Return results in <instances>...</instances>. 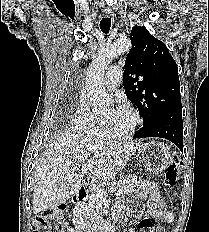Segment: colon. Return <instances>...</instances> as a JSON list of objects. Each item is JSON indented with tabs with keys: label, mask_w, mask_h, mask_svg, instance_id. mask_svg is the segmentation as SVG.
I'll use <instances>...</instances> for the list:
<instances>
[{
	"label": "colon",
	"mask_w": 209,
	"mask_h": 232,
	"mask_svg": "<svg viewBox=\"0 0 209 232\" xmlns=\"http://www.w3.org/2000/svg\"><path fill=\"white\" fill-rule=\"evenodd\" d=\"M181 173V161L174 157L166 169L164 185L173 188L178 183ZM55 226L59 232H73L72 227L64 220V209L61 207L44 210L32 220L33 232H52Z\"/></svg>",
	"instance_id": "obj_1"
}]
</instances>
